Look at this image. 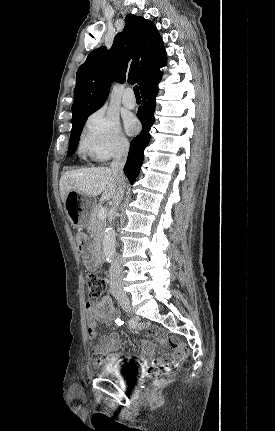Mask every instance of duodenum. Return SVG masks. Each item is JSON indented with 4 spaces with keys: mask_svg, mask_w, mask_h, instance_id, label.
<instances>
[{
    "mask_svg": "<svg viewBox=\"0 0 275 431\" xmlns=\"http://www.w3.org/2000/svg\"><path fill=\"white\" fill-rule=\"evenodd\" d=\"M94 256L97 263H102L104 261V253L99 245L94 248Z\"/></svg>",
    "mask_w": 275,
    "mask_h": 431,
    "instance_id": "duodenum-1",
    "label": "duodenum"
}]
</instances>
